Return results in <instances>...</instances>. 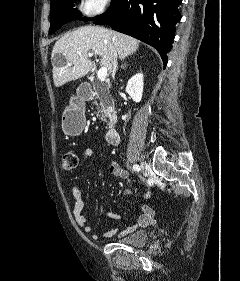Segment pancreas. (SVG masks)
Wrapping results in <instances>:
<instances>
[{
	"mask_svg": "<svg viewBox=\"0 0 240 281\" xmlns=\"http://www.w3.org/2000/svg\"><path fill=\"white\" fill-rule=\"evenodd\" d=\"M94 93H92L93 99H99L100 103L93 102L97 106L99 116L101 120L107 122V117L109 116L110 112L114 111V104L113 99L109 94L108 89H103L100 93L94 87Z\"/></svg>",
	"mask_w": 240,
	"mask_h": 281,
	"instance_id": "pancreas-1",
	"label": "pancreas"
}]
</instances>
